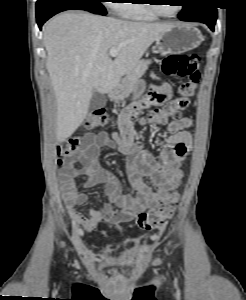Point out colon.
Instances as JSON below:
<instances>
[{"label":"colon","mask_w":246,"mask_h":300,"mask_svg":"<svg viewBox=\"0 0 246 300\" xmlns=\"http://www.w3.org/2000/svg\"><path fill=\"white\" fill-rule=\"evenodd\" d=\"M161 69L164 75L168 77L186 78L178 89L179 95L182 97L191 96L201 78L200 58L196 54H179L166 57L161 64ZM156 102H162V95H155ZM169 117L179 119L180 114L175 103H169L163 107H156L147 115L141 118V123L163 122ZM108 116L103 108H97L91 111L85 121V127L94 129L103 127L108 124ZM80 144L78 137H71L62 142L57 147L59 158L67 157L75 153ZM179 200V194L174 189H169L161 199L158 207L146 212L138 214L135 219V225L141 230H151L162 226L174 213Z\"/></svg>","instance_id":"5ec220e1"}]
</instances>
